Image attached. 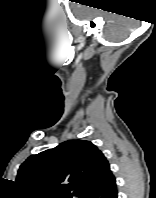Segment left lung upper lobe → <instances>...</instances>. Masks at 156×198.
<instances>
[{"label": "left lung upper lobe", "mask_w": 156, "mask_h": 198, "mask_svg": "<svg viewBox=\"0 0 156 198\" xmlns=\"http://www.w3.org/2000/svg\"><path fill=\"white\" fill-rule=\"evenodd\" d=\"M111 172L103 153L91 142L69 140L30 156L16 182L27 198H82Z\"/></svg>", "instance_id": "left-lung-upper-lobe-1"}]
</instances>
